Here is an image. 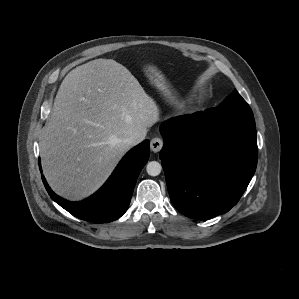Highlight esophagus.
<instances>
[{
  "instance_id": "obj_1",
  "label": "esophagus",
  "mask_w": 299,
  "mask_h": 299,
  "mask_svg": "<svg viewBox=\"0 0 299 299\" xmlns=\"http://www.w3.org/2000/svg\"><path fill=\"white\" fill-rule=\"evenodd\" d=\"M163 147V140L159 137H155L150 142V148L153 152H159Z\"/></svg>"
}]
</instances>
